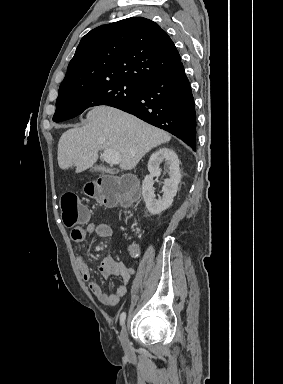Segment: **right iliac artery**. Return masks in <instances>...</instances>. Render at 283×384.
Segmentation results:
<instances>
[{
	"label": "right iliac artery",
	"instance_id": "82829eb1",
	"mask_svg": "<svg viewBox=\"0 0 283 384\" xmlns=\"http://www.w3.org/2000/svg\"><path fill=\"white\" fill-rule=\"evenodd\" d=\"M125 319H126V313L125 312H122L121 315H120V325L123 326L124 323H125Z\"/></svg>",
	"mask_w": 283,
	"mask_h": 384
}]
</instances>
